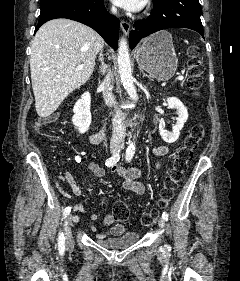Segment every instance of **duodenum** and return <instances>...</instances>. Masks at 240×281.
Here are the masks:
<instances>
[{
	"label": "duodenum",
	"instance_id": "obj_1",
	"mask_svg": "<svg viewBox=\"0 0 240 281\" xmlns=\"http://www.w3.org/2000/svg\"><path fill=\"white\" fill-rule=\"evenodd\" d=\"M103 135H104L103 131L92 133L90 135V140L94 143L99 142L103 138Z\"/></svg>",
	"mask_w": 240,
	"mask_h": 281
}]
</instances>
